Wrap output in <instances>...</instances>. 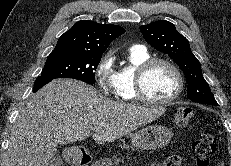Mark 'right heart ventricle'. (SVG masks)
<instances>
[{"instance_id": "obj_1", "label": "right heart ventricle", "mask_w": 231, "mask_h": 166, "mask_svg": "<svg viewBox=\"0 0 231 166\" xmlns=\"http://www.w3.org/2000/svg\"><path fill=\"white\" fill-rule=\"evenodd\" d=\"M150 58L145 48L132 46L128 50L127 63L117 71L118 96L123 101L136 100L135 73L138 66Z\"/></svg>"}]
</instances>
